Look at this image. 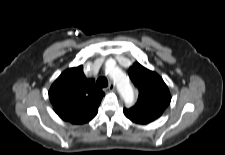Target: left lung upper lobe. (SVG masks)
<instances>
[{
	"mask_svg": "<svg viewBox=\"0 0 225 155\" xmlns=\"http://www.w3.org/2000/svg\"><path fill=\"white\" fill-rule=\"evenodd\" d=\"M128 73L138 88L139 96L135 106L124 108L125 116L137 124H148L158 119L171 101L167 85L157 73L138 62L129 68Z\"/></svg>",
	"mask_w": 225,
	"mask_h": 155,
	"instance_id": "left-lung-upper-lobe-1",
	"label": "left lung upper lobe"
}]
</instances>
